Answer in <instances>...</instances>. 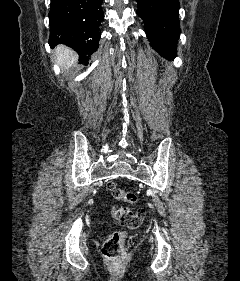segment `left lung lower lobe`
<instances>
[{"mask_svg":"<svg viewBox=\"0 0 240 281\" xmlns=\"http://www.w3.org/2000/svg\"><path fill=\"white\" fill-rule=\"evenodd\" d=\"M150 45L163 57H176L179 38V0H136Z\"/></svg>","mask_w":240,"mask_h":281,"instance_id":"obj_1","label":"left lung lower lobe"}]
</instances>
